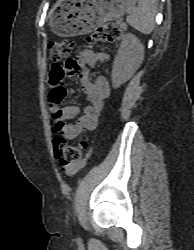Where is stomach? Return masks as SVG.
Returning <instances> with one entry per match:
<instances>
[{
    "label": "stomach",
    "mask_w": 194,
    "mask_h": 250,
    "mask_svg": "<svg viewBox=\"0 0 194 250\" xmlns=\"http://www.w3.org/2000/svg\"><path fill=\"white\" fill-rule=\"evenodd\" d=\"M137 0H59L50 27L62 37L87 34L107 21L119 19Z\"/></svg>",
    "instance_id": "stomach-1"
}]
</instances>
